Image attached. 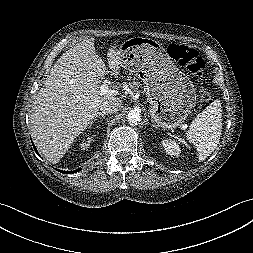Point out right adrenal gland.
I'll use <instances>...</instances> for the list:
<instances>
[{"label":"right adrenal gland","mask_w":253,"mask_h":253,"mask_svg":"<svg viewBox=\"0 0 253 253\" xmlns=\"http://www.w3.org/2000/svg\"><path fill=\"white\" fill-rule=\"evenodd\" d=\"M107 116V114L103 113V112H99L95 118H94V121H92L91 123L95 122L98 118L102 117V118H105Z\"/></svg>","instance_id":"1"}]
</instances>
